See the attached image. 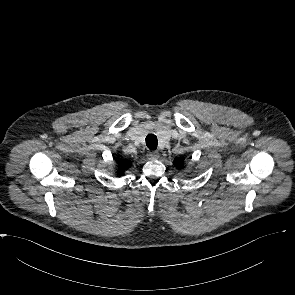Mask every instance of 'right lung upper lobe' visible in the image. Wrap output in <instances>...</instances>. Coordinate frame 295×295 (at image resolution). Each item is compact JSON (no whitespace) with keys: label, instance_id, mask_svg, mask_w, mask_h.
<instances>
[{"label":"right lung upper lobe","instance_id":"cb5924a9","mask_svg":"<svg viewBox=\"0 0 295 295\" xmlns=\"http://www.w3.org/2000/svg\"><path fill=\"white\" fill-rule=\"evenodd\" d=\"M118 164H119L118 167L120 168V170L117 172V174L120 176H122L124 174V171L131 166V162L124 159H119Z\"/></svg>","mask_w":295,"mask_h":295}]
</instances>
